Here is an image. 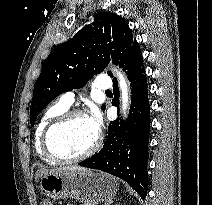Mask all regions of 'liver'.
Here are the masks:
<instances>
[{"instance_id":"liver-1","label":"liver","mask_w":212,"mask_h":205,"mask_svg":"<svg viewBox=\"0 0 212 205\" xmlns=\"http://www.w3.org/2000/svg\"><path fill=\"white\" fill-rule=\"evenodd\" d=\"M62 170H76V171H87V168L84 167H79V166H68V167H63V168H57V169H53V170H44V169H40L37 173H36V181L45 174H49V173H55L58 171H62Z\"/></svg>"}]
</instances>
